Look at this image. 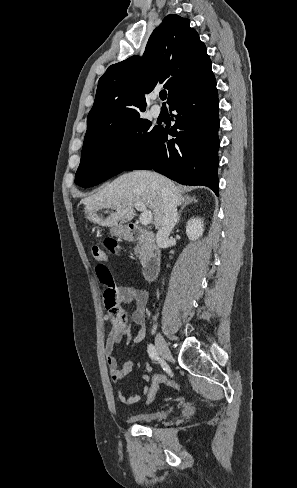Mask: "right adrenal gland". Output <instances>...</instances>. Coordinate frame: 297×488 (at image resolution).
<instances>
[{
	"label": "right adrenal gland",
	"instance_id": "1",
	"mask_svg": "<svg viewBox=\"0 0 297 488\" xmlns=\"http://www.w3.org/2000/svg\"><path fill=\"white\" fill-rule=\"evenodd\" d=\"M193 202H194V203H196V202H197L196 197H189V196H187V197H185V198L182 200V202H181V205H182V206H181V209H180V211H179V214H178V217H177V222H176V224H179V222H180V217H181V213H182L183 209H184V208H185L187 205H189V204H191V203H193Z\"/></svg>",
	"mask_w": 297,
	"mask_h": 488
}]
</instances>
